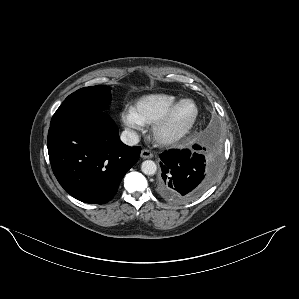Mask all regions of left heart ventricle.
Segmentation results:
<instances>
[{
    "instance_id": "left-heart-ventricle-1",
    "label": "left heart ventricle",
    "mask_w": 299,
    "mask_h": 299,
    "mask_svg": "<svg viewBox=\"0 0 299 299\" xmlns=\"http://www.w3.org/2000/svg\"><path fill=\"white\" fill-rule=\"evenodd\" d=\"M195 114V107L191 102L181 104L173 113L165 132L174 133L186 128Z\"/></svg>"
}]
</instances>
